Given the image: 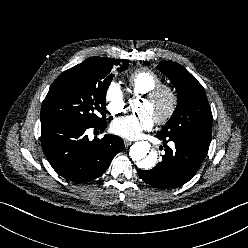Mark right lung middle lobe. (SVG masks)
I'll return each mask as SVG.
<instances>
[{
    "label": "right lung middle lobe",
    "mask_w": 248,
    "mask_h": 248,
    "mask_svg": "<svg viewBox=\"0 0 248 248\" xmlns=\"http://www.w3.org/2000/svg\"><path fill=\"white\" fill-rule=\"evenodd\" d=\"M108 62L78 64L58 76L51 85L41 109V124L70 122L95 125L105 122L106 92L115 66L117 71L128 67Z\"/></svg>",
    "instance_id": "obj_1"
}]
</instances>
